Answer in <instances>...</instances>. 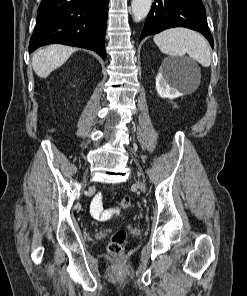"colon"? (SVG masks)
Wrapping results in <instances>:
<instances>
[{"mask_svg":"<svg viewBox=\"0 0 247 296\" xmlns=\"http://www.w3.org/2000/svg\"><path fill=\"white\" fill-rule=\"evenodd\" d=\"M131 205V198L125 196L120 202L119 205L109 212H106L104 217L110 215H116L120 209L128 208ZM127 238V234L124 230H117L111 237V241L108 245V251L112 255H119L123 251V247Z\"/></svg>","mask_w":247,"mask_h":296,"instance_id":"1","label":"colon"}]
</instances>
